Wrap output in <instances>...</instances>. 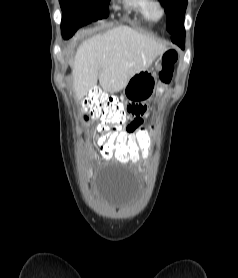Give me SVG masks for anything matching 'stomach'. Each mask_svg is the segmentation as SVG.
<instances>
[{
    "label": "stomach",
    "mask_w": 238,
    "mask_h": 278,
    "mask_svg": "<svg viewBox=\"0 0 238 278\" xmlns=\"http://www.w3.org/2000/svg\"><path fill=\"white\" fill-rule=\"evenodd\" d=\"M156 87V76L151 70L134 74L124 88L123 95L129 101L145 102L149 100Z\"/></svg>",
    "instance_id": "obj_1"
}]
</instances>
